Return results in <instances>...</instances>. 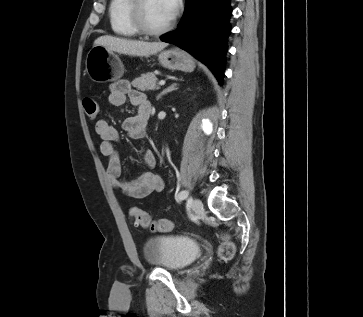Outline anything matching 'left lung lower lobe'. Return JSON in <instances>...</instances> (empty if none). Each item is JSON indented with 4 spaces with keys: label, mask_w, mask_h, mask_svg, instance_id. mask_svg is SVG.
Instances as JSON below:
<instances>
[{
    "label": "left lung lower lobe",
    "mask_w": 363,
    "mask_h": 317,
    "mask_svg": "<svg viewBox=\"0 0 363 317\" xmlns=\"http://www.w3.org/2000/svg\"><path fill=\"white\" fill-rule=\"evenodd\" d=\"M230 0H186L177 30L160 37L174 43L207 65L218 82L223 81L227 38L230 34Z\"/></svg>",
    "instance_id": "1"
}]
</instances>
